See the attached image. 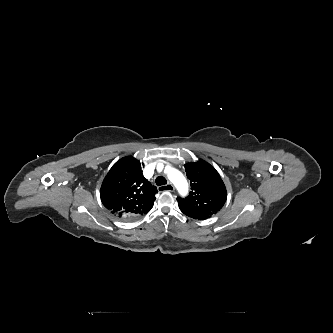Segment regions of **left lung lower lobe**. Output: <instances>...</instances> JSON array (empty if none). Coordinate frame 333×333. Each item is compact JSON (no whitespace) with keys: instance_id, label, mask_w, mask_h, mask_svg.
Here are the masks:
<instances>
[{"instance_id":"1","label":"left lung lower lobe","mask_w":333,"mask_h":333,"mask_svg":"<svg viewBox=\"0 0 333 333\" xmlns=\"http://www.w3.org/2000/svg\"><path fill=\"white\" fill-rule=\"evenodd\" d=\"M184 214H186L187 216H189L191 218H194V219L204 220L201 217H198V216H195V215H189L188 213H184Z\"/></svg>"}]
</instances>
